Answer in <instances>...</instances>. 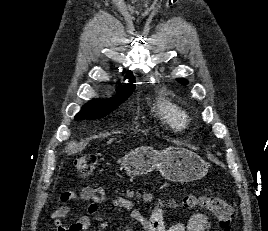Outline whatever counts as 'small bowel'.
<instances>
[{"label": "small bowel", "instance_id": "1", "mask_svg": "<svg viewBox=\"0 0 268 231\" xmlns=\"http://www.w3.org/2000/svg\"><path fill=\"white\" fill-rule=\"evenodd\" d=\"M111 191L105 187H85L80 197L90 202L87 214L82 215L72 224H65L63 219L68 216L69 207L62 206L51 215V221L56 231H88L94 224L91 216L95 215L101 204L109 197ZM116 206L120 209L130 211L131 218L139 223L144 231H209L211 228L208 217L197 213L192 215L186 222H178L169 228L166 227L164 212L168 203L154 205L152 212L146 218L142 212L133 207V203L126 198L116 197ZM101 227L106 228V223H101Z\"/></svg>", "mask_w": 268, "mask_h": 231}]
</instances>
